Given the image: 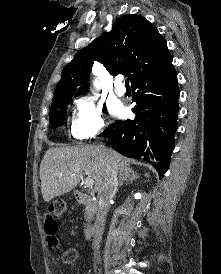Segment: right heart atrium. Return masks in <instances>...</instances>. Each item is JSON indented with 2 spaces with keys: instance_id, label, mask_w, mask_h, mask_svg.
<instances>
[{
  "instance_id": "d8ad5b80",
  "label": "right heart atrium",
  "mask_w": 221,
  "mask_h": 274,
  "mask_svg": "<svg viewBox=\"0 0 221 274\" xmlns=\"http://www.w3.org/2000/svg\"><path fill=\"white\" fill-rule=\"evenodd\" d=\"M105 128L103 104L93 97L83 96L76 101V113L71 125L75 139L94 137Z\"/></svg>"
}]
</instances>
